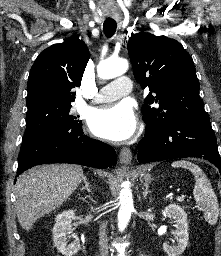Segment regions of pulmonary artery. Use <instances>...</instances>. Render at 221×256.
<instances>
[{
    "label": "pulmonary artery",
    "mask_w": 221,
    "mask_h": 256,
    "mask_svg": "<svg viewBox=\"0 0 221 256\" xmlns=\"http://www.w3.org/2000/svg\"><path fill=\"white\" fill-rule=\"evenodd\" d=\"M131 80L126 76H121L103 86L97 93L94 102H108L119 99L131 92Z\"/></svg>",
    "instance_id": "1"
}]
</instances>
